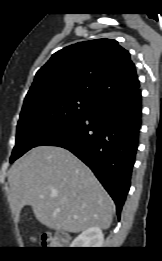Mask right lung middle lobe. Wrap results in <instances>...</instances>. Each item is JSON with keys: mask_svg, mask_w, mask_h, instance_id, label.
<instances>
[{"mask_svg": "<svg viewBox=\"0 0 162 261\" xmlns=\"http://www.w3.org/2000/svg\"><path fill=\"white\" fill-rule=\"evenodd\" d=\"M97 102L79 95H54L24 101L10 162L35 147L52 130L92 111Z\"/></svg>", "mask_w": 162, "mask_h": 261, "instance_id": "obj_1", "label": "right lung middle lobe"}]
</instances>
